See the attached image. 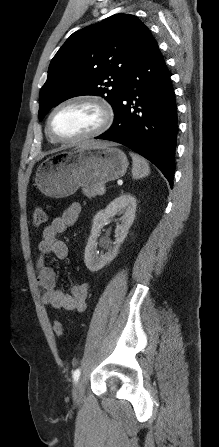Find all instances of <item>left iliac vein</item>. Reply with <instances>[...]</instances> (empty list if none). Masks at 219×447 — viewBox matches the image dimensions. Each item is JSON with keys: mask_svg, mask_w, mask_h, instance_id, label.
Masks as SVG:
<instances>
[{"mask_svg": "<svg viewBox=\"0 0 219 447\" xmlns=\"http://www.w3.org/2000/svg\"><path fill=\"white\" fill-rule=\"evenodd\" d=\"M84 391H85V381L84 378H80L77 383L75 384L74 390H73V398L75 401H80L84 397Z\"/></svg>", "mask_w": 219, "mask_h": 447, "instance_id": "1", "label": "left iliac vein"}]
</instances>
